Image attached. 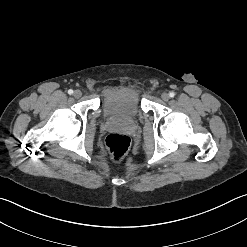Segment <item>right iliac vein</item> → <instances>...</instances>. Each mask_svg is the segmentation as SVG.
<instances>
[{
	"instance_id": "obj_1",
	"label": "right iliac vein",
	"mask_w": 247,
	"mask_h": 247,
	"mask_svg": "<svg viewBox=\"0 0 247 247\" xmlns=\"http://www.w3.org/2000/svg\"><path fill=\"white\" fill-rule=\"evenodd\" d=\"M73 95L75 98H80L82 96V92L80 90H75Z\"/></svg>"
}]
</instances>
